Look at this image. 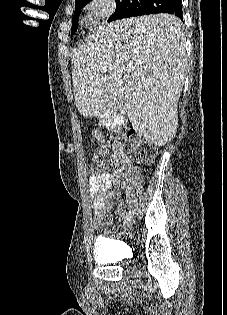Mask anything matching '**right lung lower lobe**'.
<instances>
[{
    "mask_svg": "<svg viewBox=\"0 0 227 315\" xmlns=\"http://www.w3.org/2000/svg\"><path fill=\"white\" fill-rule=\"evenodd\" d=\"M158 13L173 14L182 20L181 0H144L137 7L123 9L119 19Z\"/></svg>",
    "mask_w": 227,
    "mask_h": 315,
    "instance_id": "1",
    "label": "right lung lower lobe"
}]
</instances>
